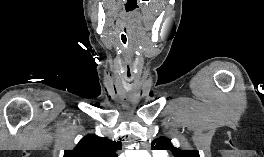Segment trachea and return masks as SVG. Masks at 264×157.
I'll use <instances>...</instances> for the list:
<instances>
[{"mask_svg":"<svg viewBox=\"0 0 264 157\" xmlns=\"http://www.w3.org/2000/svg\"><path fill=\"white\" fill-rule=\"evenodd\" d=\"M125 50L127 51V47H125ZM130 69H129V66L127 67V76L130 77Z\"/></svg>","mask_w":264,"mask_h":157,"instance_id":"trachea-1","label":"trachea"}]
</instances>
